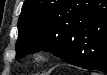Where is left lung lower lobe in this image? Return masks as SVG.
Returning <instances> with one entry per match:
<instances>
[{"label":"left lung lower lobe","instance_id":"0a47b994","mask_svg":"<svg viewBox=\"0 0 107 75\" xmlns=\"http://www.w3.org/2000/svg\"><path fill=\"white\" fill-rule=\"evenodd\" d=\"M99 4L80 22L75 46L57 56L69 64L107 73V0Z\"/></svg>","mask_w":107,"mask_h":75}]
</instances>
